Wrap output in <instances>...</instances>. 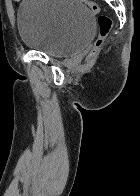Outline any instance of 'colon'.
I'll return each instance as SVG.
<instances>
[{
	"label": "colon",
	"mask_w": 140,
	"mask_h": 196,
	"mask_svg": "<svg viewBox=\"0 0 140 196\" xmlns=\"http://www.w3.org/2000/svg\"><path fill=\"white\" fill-rule=\"evenodd\" d=\"M79 1L82 4L86 5L95 14L100 13V6L97 3L92 2L90 0H79ZM97 26H98V37L95 40L93 48L91 49V51L88 55L89 60L94 59V57L99 52V50L104 42V39L107 37V35L109 34V32L112 29L113 21L108 15L99 14L97 17Z\"/></svg>",
	"instance_id": "colon-1"
}]
</instances>
